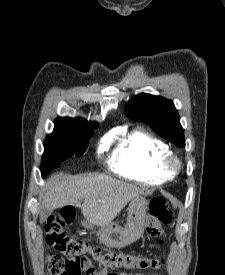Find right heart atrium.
Returning <instances> with one entry per match:
<instances>
[{
    "label": "right heart atrium",
    "mask_w": 225,
    "mask_h": 275,
    "mask_svg": "<svg viewBox=\"0 0 225 275\" xmlns=\"http://www.w3.org/2000/svg\"><path fill=\"white\" fill-rule=\"evenodd\" d=\"M107 144H108V140H104V141L102 142L101 146H100V149H101V150H104V149L106 148Z\"/></svg>",
    "instance_id": "1"
}]
</instances>
